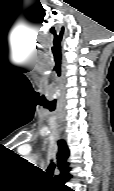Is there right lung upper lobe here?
<instances>
[{
	"label": "right lung upper lobe",
	"instance_id": "right-lung-upper-lobe-1",
	"mask_svg": "<svg viewBox=\"0 0 114 191\" xmlns=\"http://www.w3.org/2000/svg\"><path fill=\"white\" fill-rule=\"evenodd\" d=\"M59 152L57 154L58 168L60 170V175L56 176L57 179L62 178L66 174L70 168L68 167L69 163L67 162V158L69 156V150L64 141L58 142Z\"/></svg>",
	"mask_w": 114,
	"mask_h": 191
}]
</instances>
